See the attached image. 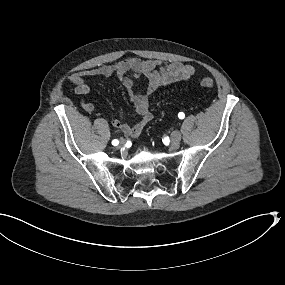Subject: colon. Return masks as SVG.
<instances>
[{
	"label": "colon",
	"mask_w": 285,
	"mask_h": 285,
	"mask_svg": "<svg viewBox=\"0 0 285 285\" xmlns=\"http://www.w3.org/2000/svg\"><path fill=\"white\" fill-rule=\"evenodd\" d=\"M199 84L201 87L207 88V89H213L215 87V83L211 78L204 77L200 79Z\"/></svg>",
	"instance_id": "obj_1"
}]
</instances>
